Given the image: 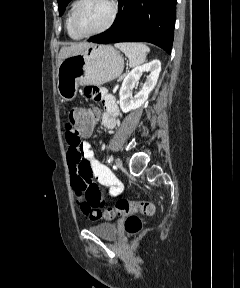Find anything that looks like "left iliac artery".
Instances as JSON below:
<instances>
[{
  "label": "left iliac artery",
  "instance_id": "44dca946",
  "mask_svg": "<svg viewBox=\"0 0 240 288\" xmlns=\"http://www.w3.org/2000/svg\"><path fill=\"white\" fill-rule=\"evenodd\" d=\"M113 160H114L113 156H109V158H108V163H112Z\"/></svg>",
  "mask_w": 240,
  "mask_h": 288
}]
</instances>
